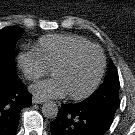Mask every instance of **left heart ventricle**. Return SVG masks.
I'll return each mask as SVG.
<instances>
[{
  "instance_id": "1",
  "label": "left heart ventricle",
  "mask_w": 135,
  "mask_h": 135,
  "mask_svg": "<svg viewBox=\"0 0 135 135\" xmlns=\"http://www.w3.org/2000/svg\"><path fill=\"white\" fill-rule=\"evenodd\" d=\"M101 58L97 50L90 49L78 54L69 64L57 68L53 75L59 77L68 93L84 92L96 78Z\"/></svg>"
}]
</instances>
